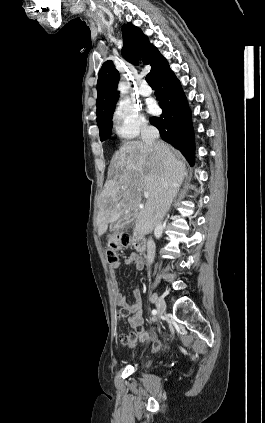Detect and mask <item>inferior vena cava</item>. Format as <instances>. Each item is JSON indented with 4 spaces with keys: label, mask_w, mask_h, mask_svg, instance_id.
Instances as JSON below:
<instances>
[{
    "label": "inferior vena cava",
    "mask_w": 265,
    "mask_h": 423,
    "mask_svg": "<svg viewBox=\"0 0 265 423\" xmlns=\"http://www.w3.org/2000/svg\"><path fill=\"white\" fill-rule=\"evenodd\" d=\"M159 131L156 127L148 124H144L141 129L142 142L149 146H160ZM155 242L150 237L147 241V262L152 264L155 258Z\"/></svg>",
    "instance_id": "1"
}]
</instances>
